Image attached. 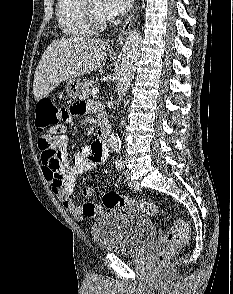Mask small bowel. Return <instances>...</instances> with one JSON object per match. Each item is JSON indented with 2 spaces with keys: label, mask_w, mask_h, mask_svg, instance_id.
<instances>
[{
  "label": "small bowel",
  "mask_w": 233,
  "mask_h": 294,
  "mask_svg": "<svg viewBox=\"0 0 233 294\" xmlns=\"http://www.w3.org/2000/svg\"><path fill=\"white\" fill-rule=\"evenodd\" d=\"M96 109L95 103L86 101L72 104L71 108H60V119L62 120H56V125H62V129H71V122H79V116L96 111ZM68 143L69 136L61 134L54 138V142L49 148L39 145L42 152V170L52 191L65 209L74 219L83 220L97 214L85 212L87 204H95L92 202L94 189L85 187L82 192L88 201L82 206H77L71 197L76 179L90 169L104 163L107 159V149L104 144L95 140L90 145L79 149L73 156H69ZM68 161H72V163H68Z\"/></svg>",
  "instance_id": "small-bowel-1"
}]
</instances>
